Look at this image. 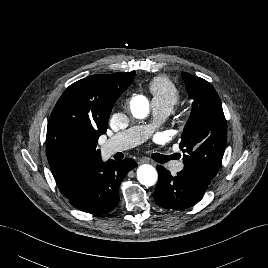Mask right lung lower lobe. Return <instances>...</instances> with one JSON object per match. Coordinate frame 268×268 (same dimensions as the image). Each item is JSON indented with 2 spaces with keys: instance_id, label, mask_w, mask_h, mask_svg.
Segmentation results:
<instances>
[{
  "instance_id": "obj_1",
  "label": "right lung lower lobe",
  "mask_w": 268,
  "mask_h": 268,
  "mask_svg": "<svg viewBox=\"0 0 268 268\" xmlns=\"http://www.w3.org/2000/svg\"><path fill=\"white\" fill-rule=\"evenodd\" d=\"M137 166L131 158L123 161L108 160L93 166L78 190L68 199L81 211L103 214L119 203V186L126 174Z\"/></svg>"
}]
</instances>
